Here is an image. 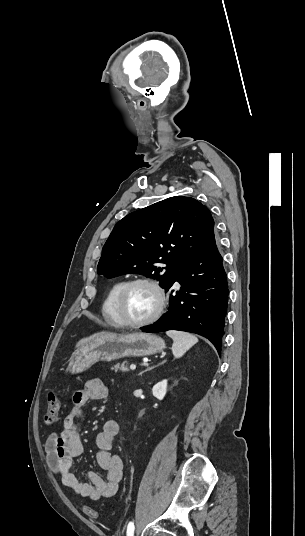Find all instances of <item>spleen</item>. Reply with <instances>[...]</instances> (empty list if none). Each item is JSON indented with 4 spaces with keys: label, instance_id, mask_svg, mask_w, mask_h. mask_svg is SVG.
I'll return each mask as SVG.
<instances>
[{
    "label": "spleen",
    "instance_id": "3e777b00",
    "mask_svg": "<svg viewBox=\"0 0 305 536\" xmlns=\"http://www.w3.org/2000/svg\"><path fill=\"white\" fill-rule=\"evenodd\" d=\"M166 334L173 340L172 352L175 358H182L187 350H190V348L198 342V338H195L192 334H187V332H175V330H170V332H166Z\"/></svg>",
    "mask_w": 305,
    "mask_h": 536
}]
</instances>
